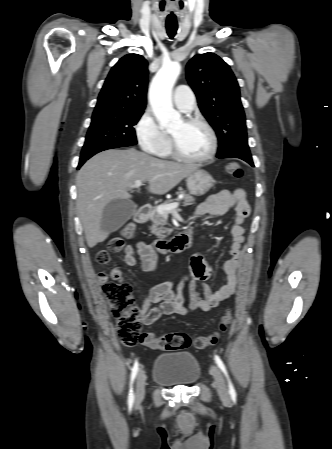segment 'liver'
<instances>
[{
	"label": "liver",
	"instance_id": "obj_1",
	"mask_svg": "<svg viewBox=\"0 0 332 449\" xmlns=\"http://www.w3.org/2000/svg\"><path fill=\"white\" fill-rule=\"evenodd\" d=\"M197 166L159 160L135 149L103 151L88 160L76 178L77 210L87 245L92 248L109 235L101 228L105 206L114 199H129L136 180L149 182V192L162 195L174 188Z\"/></svg>",
	"mask_w": 332,
	"mask_h": 449
}]
</instances>
